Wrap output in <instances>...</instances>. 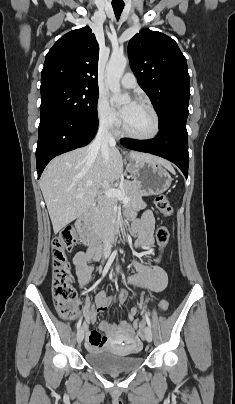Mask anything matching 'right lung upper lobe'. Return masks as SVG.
Listing matches in <instances>:
<instances>
[{
  "label": "right lung upper lobe",
  "mask_w": 235,
  "mask_h": 404,
  "mask_svg": "<svg viewBox=\"0 0 235 404\" xmlns=\"http://www.w3.org/2000/svg\"><path fill=\"white\" fill-rule=\"evenodd\" d=\"M99 45L89 26L56 41L46 55L41 85L60 82L98 90Z\"/></svg>",
  "instance_id": "1"
}]
</instances>
